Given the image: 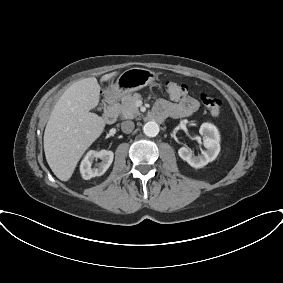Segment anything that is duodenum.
<instances>
[{
  "mask_svg": "<svg viewBox=\"0 0 283 283\" xmlns=\"http://www.w3.org/2000/svg\"><path fill=\"white\" fill-rule=\"evenodd\" d=\"M116 103H117V97L116 96H109L105 101V111L103 113V118L105 122L107 123H113L117 117V109H116ZM149 118L151 120H155L157 122H160L164 120V115L152 112L149 115Z\"/></svg>",
  "mask_w": 283,
  "mask_h": 283,
  "instance_id": "obj_1",
  "label": "duodenum"
}]
</instances>
